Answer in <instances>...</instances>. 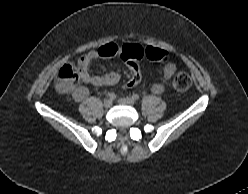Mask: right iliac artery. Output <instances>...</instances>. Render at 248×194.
Instances as JSON below:
<instances>
[{
	"label": "right iliac artery",
	"mask_w": 248,
	"mask_h": 194,
	"mask_svg": "<svg viewBox=\"0 0 248 194\" xmlns=\"http://www.w3.org/2000/svg\"><path fill=\"white\" fill-rule=\"evenodd\" d=\"M108 98H110L111 100H114L116 98V94L115 93H108Z\"/></svg>",
	"instance_id": "obj_1"
}]
</instances>
